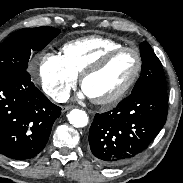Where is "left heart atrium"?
<instances>
[{
	"mask_svg": "<svg viewBox=\"0 0 183 183\" xmlns=\"http://www.w3.org/2000/svg\"><path fill=\"white\" fill-rule=\"evenodd\" d=\"M81 97H84V96H88L87 93L85 92V90L83 89L81 94H80Z\"/></svg>",
	"mask_w": 183,
	"mask_h": 183,
	"instance_id": "39dd6f15",
	"label": "left heart atrium"
}]
</instances>
